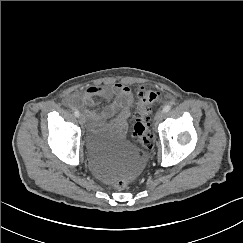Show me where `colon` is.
I'll return each mask as SVG.
<instances>
[{"label": "colon", "mask_w": 243, "mask_h": 243, "mask_svg": "<svg viewBox=\"0 0 243 243\" xmlns=\"http://www.w3.org/2000/svg\"><path fill=\"white\" fill-rule=\"evenodd\" d=\"M137 103L132 109L133 120V135L137 139L141 150L145 154H151L154 151V146L151 144V124L150 117L153 106L163 100L160 92L147 89L146 84L139 83L136 86ZM129 185V180L126 177L118 178L114 182V188L123 190Z\"/></svg>", "instance_id": "5ec220e1"}]
</instances>
